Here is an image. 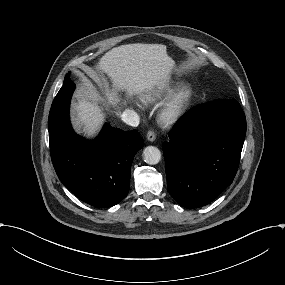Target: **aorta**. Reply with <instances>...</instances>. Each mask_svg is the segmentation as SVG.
Masks as SVG:
<instances>
[{
  "label": "aorta",
  "instance_id": "aorta-1",
  "mask_svg": "<svg viewBox=\"0 0 285 285\" xmlns=\"http://www.w3.org/2000/svg\"><path fill=\"white\" fill-rule=\"evenodd\" d=\"M143 158L147 164L155 165L161 159V152L155 146H148L143 151Z\"/></svg>",
  "mask_w": 285,
  "mask_h": 285
}]
</instances>
